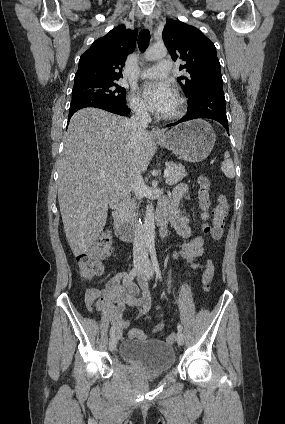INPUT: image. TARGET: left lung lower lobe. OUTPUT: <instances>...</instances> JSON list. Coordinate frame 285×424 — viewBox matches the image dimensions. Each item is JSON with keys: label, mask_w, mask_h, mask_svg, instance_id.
<instances>
[{"label": "left lung lower lobe", "mask_w": 285, "mask_h": 424, "mask_svg": "<svg viewBox=\"0 0 285 424\" xmlns=\"http://www.w3.org/2000/svg\"><path fill=\"white\" fill-rule=\"evenodd\" d=\"M197 118L216 120L221 123L228 132L223 87H211L198 92L196 96L188 102L187 115L175 123L168 124L167 127Z\"/></svg>", "instance_id": "left-lung-lower-lobe-1"}]
</instances>
